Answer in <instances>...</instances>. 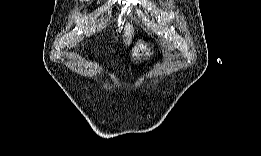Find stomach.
I'll list each match as a JSON object with an SVG mask.
<instances>
[{"mask_svg": "<svg viewBox=\"0 0 261 156\" xmlns=\"http://www.w3.org/2000/svg\"><path fill=\"white\" fill-rule=\"evenodd\" d=\"M145 52V53H144ZM144 53V54H143ZM152 51L150 48H145V45L142 42H139L135 48L133 49L134 56H142L145 55L146 57H150Z\"/></svg>", "mask_w": 261, "mask_h": 156, "instance_id": "1", "label": "stomach"}]
</instances>
